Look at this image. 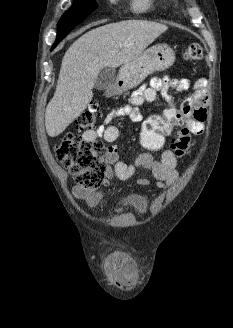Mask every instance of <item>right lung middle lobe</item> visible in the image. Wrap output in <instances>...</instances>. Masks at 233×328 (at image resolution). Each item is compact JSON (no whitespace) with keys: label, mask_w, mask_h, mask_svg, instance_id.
<instances>
[{"label":"right lung middle lobe","mask_w":233,"mask_h":328,"mask_svg":"<svg viewBox=\"0 0 233 328\" xmlns=\"http://www.w3.org/2000/svg\"><path fill=\"white\" fill-rule=\"evenodd\" d=\"M97 7L96 0H74L72 7L61 17L59 24L82 22Z\"/></svg>","instance_id":"1"}]
</instances>
